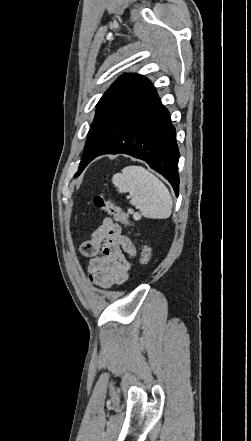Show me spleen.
Listing matches in <instances>:
<instances>
[{
  "instance_id": "1",
  "label": "spleen",
  "mask_w": 251,
  "mask_h": 441,
  "mask_svg": "<svg viewBox=\"0 0 251 441\" xmlns=\"http://www.w3.org/2000/svg\"><path fill=\"white\" fill-rule=\"evenodd\" d=\"M119 193H129L130 204L146 218L165 219L172 212V197L167 187L142 166L130 165L112 177Z\"/></svg>"
}]
</instances>
